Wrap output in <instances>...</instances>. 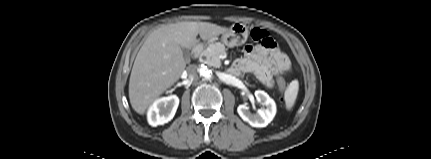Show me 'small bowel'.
Masks as SVG:
<instances>
[{
	"instance_id": "small-bowel-1",
	"label": "small bowel",
	"mask_w": 431,
	"mask_h": 159,
	"mask_svg": "<svg viewBox=\"0 0 431 159\" xmlns=\"http://www.w3.org/2000/svg\"><path fill=\"white\" fill-rule=\"evenodd\" d=\"M291 69L289 57L270 38L269 44L246 45L244 56L238 59L233 71L254 74L267 87L273 86V78Z\"/></svg>"
}]
</instances>
